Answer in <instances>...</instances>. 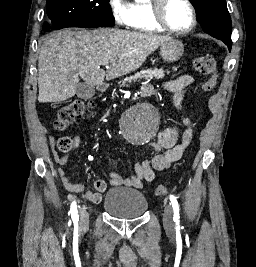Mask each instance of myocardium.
<instances>
[{
  "mask_svg": "<svg viewBox=\"0 0 256 267\" xmlns=\"http://www.w3.org/2000/svg\"><path fill=\"white\" fill-rule=\"evenodd\" d=\"M169 1L170 0H155V7H154V11L152 13L153 24L167 33L178 35V36H183V35H187V34L191 33L197 25V15H196V11H195L193 5L188 0H178V1H181L188 6V8L190 9V12H191V16H192L191 26L186 30L179 31V30L173 29L168 24V22L166 21V19L164 17L165 6H166V3ZM149 30H150V28L148 30H145V31H149Z\"/></svg>",
  "mask_w": 256,
  "mask_h": 267,
  "instance_id": "f54148a6",
  "label": "myocardium"
}]
</instances>
